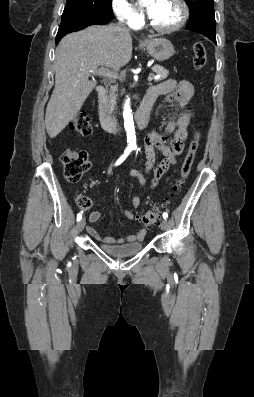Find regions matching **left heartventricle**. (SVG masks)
Wrapping results in <instances>:
<instances>
[{"instance_id":"b2bd125f","label":"left heart ventricle","mask_w":254,"mask_h":397,"mask_svg":"<svg viewBox=\"0 0 254 397\" xmlns=\"http://www.w3.org/2000/svg\"><path fill=\"white\" fill-rule=\"evenodd\" d=\"M149 8H151L150 18L158 26H171L181 16V9L174 0H152Z\"/></svg>"}]
</instances>
